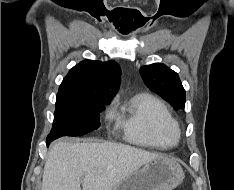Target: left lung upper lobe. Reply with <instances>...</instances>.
<instances>
[{"label":"left lung upper lobe","mask_w":234,"mask_h":190,"mask_svg":"<svg viewBox=\"0 0 234 190\" xmlns=\"http://www.w3.org/2000/svg\"><path fill=\"white\" fill-rule=\"evenodd\" d=\"M140 74L153 92L168 101L176 110L184 109L185 90L176 72L164 64H151L141 67Z\"/></svg>","instance_id":"1"}]
</instances>
